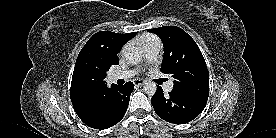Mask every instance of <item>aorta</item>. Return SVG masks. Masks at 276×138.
Segmentation results:
<instances>
[{
    "mask_svg": "<svg viewBox=\"0 0 276 138\" xmlns=\"http://www.w3.org/2000/svg\"><path fill=\"white\" fill-rule=\"evenodd\" d=\"M126 61L129 64L136 65L143 58V52L137 47H128L125 51ZM143 89L147 95H154L157 90V86L155 82L149 81L144 84Z\"/></svg>",
    "mask_w": 276,
    "mask_h": 138,
    "instance_id": "obj_1",
    "label": "aorta"
}]
</instances>
